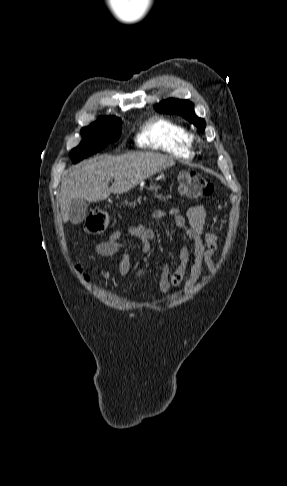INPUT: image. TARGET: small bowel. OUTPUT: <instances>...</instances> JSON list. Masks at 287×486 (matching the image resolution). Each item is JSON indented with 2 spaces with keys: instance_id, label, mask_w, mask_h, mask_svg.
Wrapping results in <instances>:
<instances>
[{
  "instance_id": "small-bowel-1",
  "label": "small bowel",
  "mask_w": 287,
  "mask_h": 486,
  "mask_svg": "<svg viewBox=\"0 0 287 486\" xmlns=\"http://www.w3.org/2000/svg\"><path fill=\"white\" fill-rule=\"evenodd\" d=\"M151 217L155 220L173 221L180 230L182 240L178 254L179 265L172 269L171 261L167 260L159 279V291L161 294H166L171 289L181 288L183 292H187L198 281L206 279V275L203 274L204 265L209 272L215 269L218 237L206 231L207 212L201 206H194L183 214L179 208L172 207L155 210ZM127 233L140 241L144 253L150 252L151 243L156 239V233L152 228L145 225L129 226ZM122 236V231L111 233L106 240L95 246V253L100 257H111L120 253L119 274L121 277H126L131 269V255L128 246L122 241ZM189 242H192V251ZM192 256L193 261L188 268ZM144 274V270H139L136 272V277Z\"/></svg>"
}]
</instances>
